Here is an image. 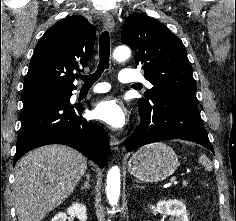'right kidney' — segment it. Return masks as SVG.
Returning <instances> with one entry per match:
<instances>
[{
  "mask_svg": "<svg viewBox=\"0 0 236 221\" xmlns=\"http://www.w3.org/2000/svg\"><path fill=\"white\" fill-rule=\"evenodd\" d=\"M87 209L82 203H74L68 209L67 213L60 212L55 215L51 221H66L67 214L76 217L79 221L87 220Z\"/></svg>",
  "mask_w": 236,
  "mask_h": 221,
  "instance_id": "ca27d5eb",
  "label": "right kidney"
}]
</instances>
